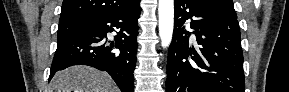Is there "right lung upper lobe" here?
<instances>
[{
	"label": "right lung upper lobe",
	"instance_id": "cb5924a9",
	"mask_svg": "<svg viewBox=\"0 0 289 92\" xmlns=\"http://www.w3.org/2000/svg\"><path fill=\"white\" fill-rule=\"evenodd\" d=\"M134 2L135 0H64L59 25L83 24L124 9Z\"/></svg>",
	"mask_w": 289,
	"mask_h": 92
}]
</instances>
